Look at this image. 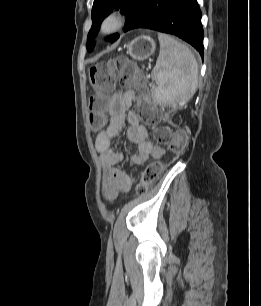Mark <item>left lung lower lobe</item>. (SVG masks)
I'll list each match as a JSON object with an SVG mask.
<instances>
[{"label": "left lung lower lobe", "instance_id": "1", "mask_svg": "<svg viewBox=\"0 0 261 306\" xmlns=\"http://www.w3.org/2000/svg\"><path fill=\"white\" fill-rule=\"evenodd\" d=\"M136 28L178 36L203 57V28L197 0H145L124 31Z\"/></svg>", "mask_w": 261, "mask_h": 306}]
</instances>
